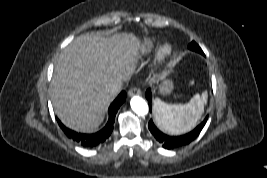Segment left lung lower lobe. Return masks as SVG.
Wrapping results in <instances>:
<instances>
[{
    "label": "left lung lower lobe",
    "instance_id": "1",
    "mask_svg": "<svg viewBox=\"0 0 267 178\" xmlns=\"http://www.w3.org/2000/svg\"><path fill=\"white\" fill-rule=\"evenodd\" d=\"M146 98L149 101V107L151 109V90L148 89L146 91ZM208 116L201 122L194 130L191 132L181 135V136H169L162 133L150 120L148 124V128L153 135V137L166 149H174L185 146L192 142L196 137L200 134L201 130L203 129L204 125L206 124Z\"/></svg>",
    "mask_w": 267,
    "mask_h": 178
}]
</instances>
